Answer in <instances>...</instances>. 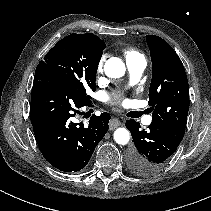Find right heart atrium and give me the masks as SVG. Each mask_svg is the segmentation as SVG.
I'll use <instances>...</instances> for the list:
<instances>
[{
  "mask_svg": "<svg viewBox=\"0 0 211 211\" xmlns=\"http://www.w3.org/2000/svg\"><path fill=\"white\" fill-rule=\"evenodd\" d=\"M102 71H103V59H101L99 63L97 64V67H96L97 75H100Z\"/></svg>",
  "mask_w": 211,
  "mask_h": 211,
  "instance_id": "d8ad5b80",
  "label": "right heart atrium"
}]
</instances>
